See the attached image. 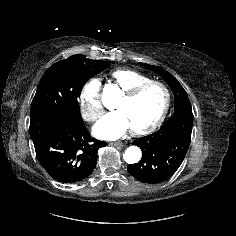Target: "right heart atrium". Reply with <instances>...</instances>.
<instances>
[{
    "mask_svg": "<svg viewBox=\"0 0 236 236\" xmlns=\"http://www.w3.org/2000/svg\"><path fill=\"white\" fill-rule=\"evenodd\" d=\"M101 82L97 78L90 79L81 89L79 106L82 117L88 122H95L104 111L101 97Z\"/></svg>",
    "mask_w": 236,
    "mask_h": 236,
    "instance_id": "obj_1",
    "label": "right heart atrium"
}]
</instances>
